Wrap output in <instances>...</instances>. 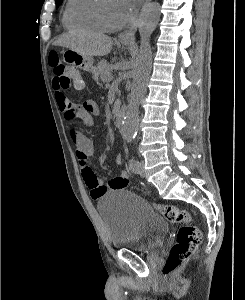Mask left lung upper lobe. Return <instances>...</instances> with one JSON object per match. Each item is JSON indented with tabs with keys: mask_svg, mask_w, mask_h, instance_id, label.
Listing matches in <instances>:
<instances>
[{
	"mask_svg": "<svg viewBox=\"0 0 245 300\" xmlns=\"http://www.w3.org/2000/svg\"><path fill=\"white\" fill-rule=\"evenodd\" d=\"M62 1H63V0H56V5H57V6L61 5Z\"/></svg>",
	"mask_w": 245,
	"mask_h": 300,
	"instance_id": "5c2ea615",
	"label": "left lung upper lobe"
}]
</instances>
